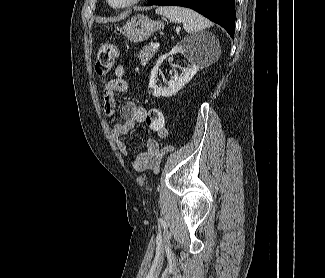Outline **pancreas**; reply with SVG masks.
<instances>
[{
    "mask_svg": "<svg viewBox=\"0 0 325 278\" xmlns=\"http://www.w3.org/2000/svg\"><path fill=\"white\" fill-rule=\"evenodd\" d=\"M157 48H152L151 45L145 46L138 54V57L141 61V65H146L148 61L154 56V54L157 52Z\"/></svg>",
    "mask_w": 325,
    "mask_h": 278,
    "instance_id": "pancreas-1",
    "label": "pancreas"
}]
</instances>
